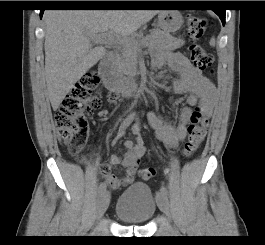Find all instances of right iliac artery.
I'll use <instances>...</instances> for the list:
<instances>
[{"label":"right iliac artery","mask_w":265,"mask_h":245,"mask_svg":"<svg viewBox=\"0 0 265 245\" xmlns=\"http://www.w3.org/2000/svg\"><path fill=\"white\" fill-rule=\"evenodd\" d=\"M133 113L129 114L124 121L121 123L120 128H126L130 125L133 120ZM106 191V184L102 182L98 187V194L101 195Z\"/></svg>","instance_id":"obj_1"}]
</instances>
